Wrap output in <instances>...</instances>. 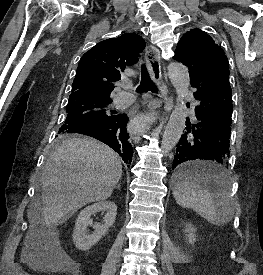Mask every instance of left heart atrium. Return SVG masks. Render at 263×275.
Returning a JSON list of instances; mask_svg holds the SVG:
<instances>
[{
    "mask_svg": "<svg viewBox=\"0 0 263 275\" xmlns=\"http://www.w3.org/2000/svg\"><path fill=\"white\" fill-rule=\"evenodd\" d=\"M146 123H147V119L146 118H144V117H137L133 121V127L136 130H140V129H143L145 127Z\"/></svg>",
    "mask_w": 263,
    "mask_h": 275,
    "instance_id": "left-heart-atrium-1",
    "label": "left heart atrium"
}]
</instances>
